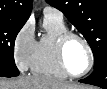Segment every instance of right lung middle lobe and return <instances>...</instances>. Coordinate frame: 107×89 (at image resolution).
Instances as JSON below:
<instances>
[{
  "label": "right lung middle lobe",
  "mask_w": 107,
  "mask_h": 89,
  "mask_svg": "<svg viewBox=\"0 0 107 89\" xmlns=\"http://www.w3.org/2000/svg\"><path fill=\"white\" fill-rule=\"evenodd\" d=\"M25 22L0 18V76L15 77L19 71L14 62V42Z\"/></svg>",
  "instance_id": "dd1d6c3e"
}]
</instances>
